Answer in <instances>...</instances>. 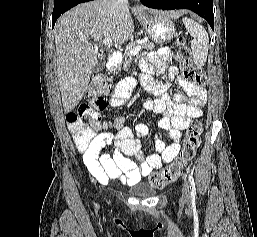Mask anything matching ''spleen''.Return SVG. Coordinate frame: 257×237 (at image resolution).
Masks as SVG:
<instances>
[{"mask_svg": "<svg viewBox=\"0 0 257 237\" xmlns=\"http://www.w3.org/2000/svg\"><path fill=\"white\" fill-rule=\"evenodd\" d=\"M183 23L190 35L193 37L191 42V49L194 63L198 67H202L206 63L208 55V33L201 25L192 19L183 18Z\"/></svg>", "mask_w": 257, "mask_h": 237, "instance_id": "obj_1", "label": "spleen"}]
</instances>
